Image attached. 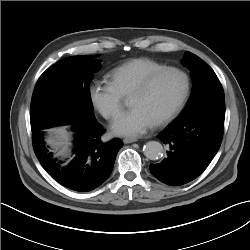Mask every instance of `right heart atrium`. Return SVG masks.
Wrapping results in <instances>:
<instances>
[{"instance_id": "obj_1", "label": "right heart atrium", "mask_w": 250, "mask_h": 250, "mask_svg": "<svg viewBox=\"0 0 250 250\" xmlns=\"http://www.w3.org/2000/svg\"><path fill=\"white\" fill-rule=\"evenodd\" d=\"M88 96L93 108L106 119H115L122 110L123 96L110 80L92 82Z\"/></svg>"}]
</instances>
